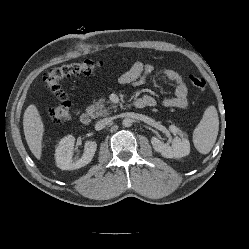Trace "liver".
<instances>
[{
    "label": "liver",
    "mask_w": 249,
    "mask_h": 249,
    "mask_svg": "<svg viewBox=\"0 0 249 249\" xmlns=\"http://www.w3.org/2000/svg\"><path fill=\"white\" fill-rule=\"evenodd\" d=\"M23 129L30 151L37 159H41L44 124L34 104L29 105L24 112Z\"/></svg>",
    "instance_id": "obj_1"
}]
</instances>
